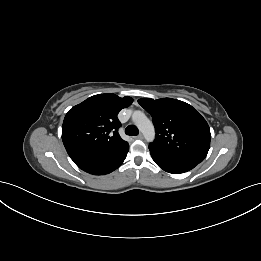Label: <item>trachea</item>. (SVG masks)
Masks as SVG:
<instances>
[{
    "instance_id": "trachea-1",
    "label": "trachea",
    "mask_w": 261,
    "mask_h": 261,
    "mask_svg": "<svg viewBox=\"0 0 261 261\" xmlns=\"http://www.w3.org/2000/svg\"><path fill=\"white\" fill-rule=\"evenodd\" d=\"M125 133L130 136H137L139 134V130L135 125H129L125 129Z\"/></svg>"
}]
</instances>
